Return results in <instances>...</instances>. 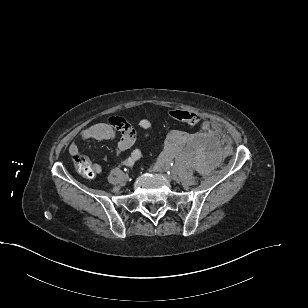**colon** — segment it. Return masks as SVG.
Instances as JSON below:
<instances>
[{
	"instance_id": "colon-1",
	"label": "colon",
	"mask_w": 308,
	"mask_h": 308,
	"mask_svg": "<svg viewBox=\"0 0 308 308\" xmlns=\"http://www.w3.org/2000/svg\"><path fill=\"white\" fill-rule=\"evenodd\" d=\"M169 114L173 119L189 126L198 125L201 121L200 116L194 112L177 109L170 111ZM73 162L76 170L80 174L86 177L94 175L93 167L87 156L77 153L73 156Z\"/></svg>"
}]
</instances>
